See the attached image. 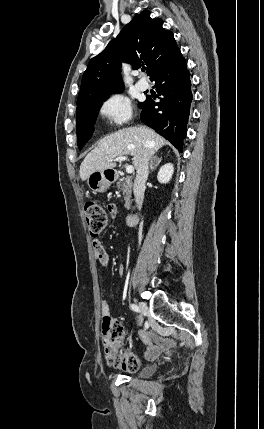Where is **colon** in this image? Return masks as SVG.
Instances as JSON below:
<instances>
[{"instance_id": "1", "label": "colon", "mask_w": 264, "mask_h": 429, "mask_svg": "<svg viewBox=\"0 0 264 429\" xmlns=\"http://www.w3.org/2000/svg\"><path fill=\"white\" fill-rule=\"evenodd\" d=\"M85 217L88 230L93 237H97L108 225L112 217V208L105 207L94 200L85 203ZM102 343L107 354L115 355L123 344V329L119 322L104 314L102 318ZM111 361L118 366L120 360L111 357ZM126 370L133 372L137 370L139 362L134 355H129L126 359Z\"/></svg>"}]
</instances>
